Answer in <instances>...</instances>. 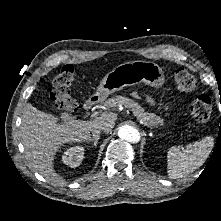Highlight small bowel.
Instances as JSON below:
<instances>
[{"label":"small bowel","instance_id":"small-bowel-1","mask_svg":"<svg viewBox=\"0 0 221 221\" xmlns=\"http://www.w3.org/2000/svg\"><path fill=\"white\" fill-rule=\"evenodd\" d=\"M133 96H134V97H138V93H137V92H134V93H133Z\"/></svg>","mask_w":221,"mask_h":221}]
</instances>
